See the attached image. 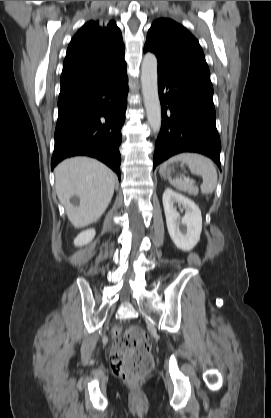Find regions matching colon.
<instances>
[{
    "label": "colon",
    "instance_id": "1",
    "mask_svg": "<svg viewBox=\"0 0 271 418\" xmlns=\"http://www.w3.org/2000/svg\"><path fill=\"white\" fill-rule=\"evenodd\" d=\"M115 343L110 355L114 374L124 380L136 381L153 367L151 342L146 332L138 327L125 331L113 329Z\"/></svg>",
    "mask_w": 271,
    "mask_h": 418
}]
</instances>
